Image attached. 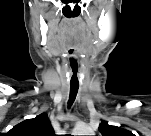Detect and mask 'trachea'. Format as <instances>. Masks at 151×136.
Listing matches in <instances>:
<instances>
[{
  "instance_id": "obj_1",
  "label": "trachea",
  "mask_w": 151,
  "mask_h": 136,
  "mask_svg": "<svg viewBox=\"0 0 151 136\" xmlns=\"http://www.w3.org/2000/svg\"><path fill=\"white\" fill-rule=\"evenodd\" d=\"M77 70H73V75H76ZM79 89V82L78 81H73V79H71L70 81V95H69V101H68V106L70 107L77 95Z\"/></svg>"
}]
</instances>
